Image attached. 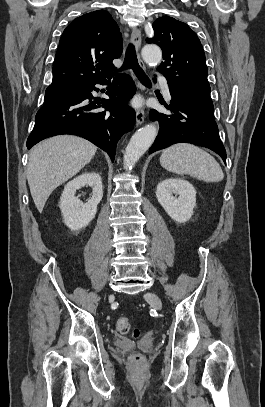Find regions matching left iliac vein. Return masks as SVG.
I'll list each match as a JSON object with an SVG mask.
<instances>
[{"label": "left iliac vein", "mask_w": 265, "mask_h": 407, "mask_svg": "<svg viewBox=\"0 0 265 407\" xmlns=\"http://www.w3.org/2000/svg\"><path fill=\"white\" fill-rule=\"evenodd\" d=\"M145 299L155 308L160 310L162 308L161 299L153 292H147L144 295Z\"/></svg>", "instance_id": "obj_1"}]
</instances>
